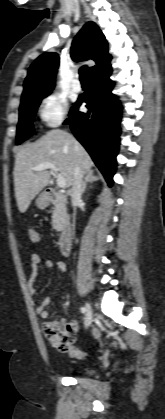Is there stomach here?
Returning <instances> with one entry per match:
<instances>
[{
    "label": "stomach",
    "mask_w": 165,
    "mask_h": 419,
    "mask_svg": "<svg viewBox=\"0 0 165 419\" xmlns=\"http://www.w3.org/2000/svg\"><path fill=\"white\" fill-rule=\"evenodd\" d=\"M36 204L39 208H43L46 205V202L43 201L41 198H38Z\"/></svg>",
    "instance_id": "obj_1"
}]
</instances>
